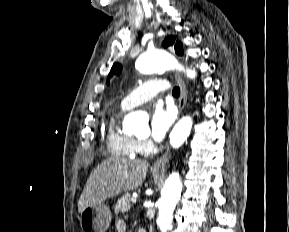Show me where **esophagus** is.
I'll return each mask as SVG.
<instances>
[{
    "label": "esophagus",
    "instance_id": "obj_1",
    "mask_svg": "<svg viewBox=\"0 0 289 232\" xmlns=\"http://www.w3.org/2000/svg\"><path fill=\"white\" fill-rule=\"evenodd\" d=\"M175 78H176V81L180 87L178 111H179V114H181L184 107H185L186 101H187V89H186V85H185L182 77L179 74L175 73ZM170 156H171L170 149L167 148L165 153L154 163L153 169L154 170L164 169L166 163L170 159Z\"/></svg>",
    "mask_w": 289,
    "mask_h": 232
}]
</instances>
